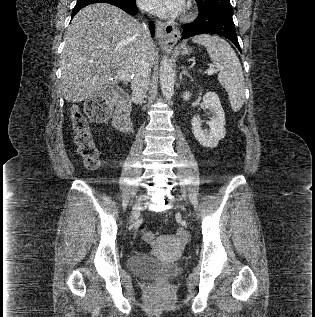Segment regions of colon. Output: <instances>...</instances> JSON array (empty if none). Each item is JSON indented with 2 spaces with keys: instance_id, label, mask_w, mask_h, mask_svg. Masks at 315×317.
Segmentation results:
<instances>
[{
  "instance_id": "colon-1",
  "label": "colon",
  "mask_w": 315,
  "mask_h": 317,
  "mask_svg": "<svg viewBox=\"0 0 315 317\" xmlns=\"http://www.w3.org/2000/svg\"><path fill=\"white\" fill-rule=\"evenodd\" d=\"M111 97L109 93L98 94L90 98L85 105V114L79 109L71 110L72 132L77 144V150L82 157L84 165L89 170H95L99 166V150L95 144L93 133L89 127L88 120L104 121L111 114ZM141 237L146 243H152L155 233L142 228Z\"/></svg>"
}]
</instances>
